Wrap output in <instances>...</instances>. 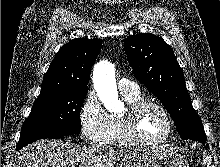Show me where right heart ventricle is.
Wrapping results in <instances>:
<instances>
[{"mask_svg":"<svg viewBox=\"0 0 220 167\" xmlns=\"http://www.w3.org/2000/svg\"><path fill=\"white\" fill-rule=\"evenodd\" d=\"M122 95L125 101L129 105L143 100L140 92L137 93L124 92L122 93ZM103 143L106 145H113V146H126L130 144L129 142H127V140L123 135L122 125L119 115L113 113L108 114V126Z\"/></svg>","mask_w":220,"mask_h":167,"instance_id":"e07e8e85","label":"right heart ventricle"}]
</instances>
